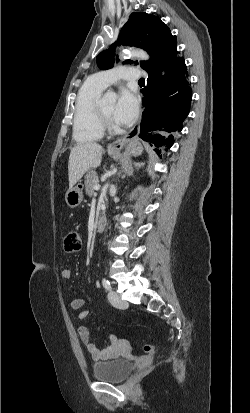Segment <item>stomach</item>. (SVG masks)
<instances>
[{
    "label": "stomach",
    "mask_w": 250,
    "mask_h": 413,
    "mask_svg": "<svg viewBox=\"0 0 250 413\" xmlns=\"http://www.w3.org/2000/svg\"><path fill=\"white\" fill-rule=\"evenodd\" d=\"M142 146L135 140H132L127 145L126 151L133 154L139 155L142 153ZM112 157L116 156L118 152H108ZM83 200V190L82 185L79 183L75 187L70 188L65 194V201L70 208H76L81 204Z\"/></svg>",
    "instance_id": "0dacf381"
}]
</instances>
